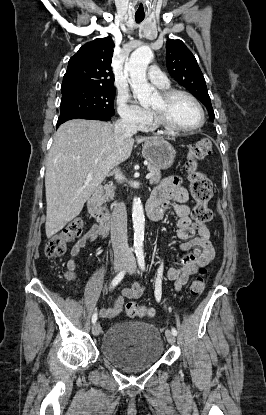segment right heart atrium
Listing matches in <instances>:
<instances>
[{
	"label": "right heart atrium",
	"instance_id": "d8ad5b80",
	"mask_svg": "<svg viewBox=\"0 0 266 415\" xmlns=\"http://www.w3.org/2000/svg\"><path fill=\"white\" fill-rule=\"evenodd\" d=\"M117 103L118 113L125 121L139 128L147 127L150 124L151 112L133 103L127 94L119 95Z\"/></svg>",
	"mask_w": 266,
	"mask_h": 415
}]
</instances>
